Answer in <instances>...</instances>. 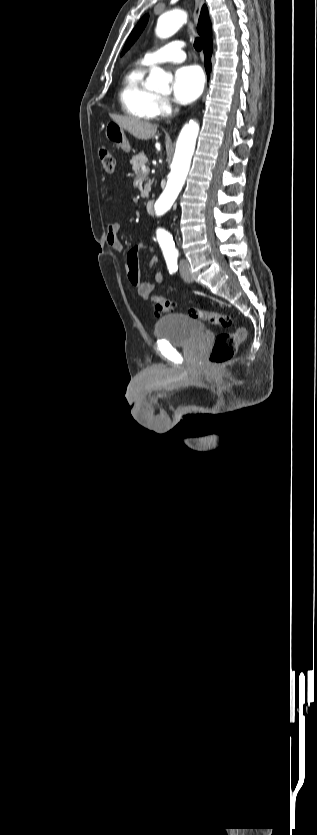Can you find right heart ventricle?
Masks as SVG:
<instances>
[{"mask_svg": "<svg viewBox=\"0 0 317 835\" xmlns=\"http://www.w3.org/2000/svg\"><path fill=\"white\" fill-rule=\"evenodd\" d=\"M147 65L138 61L124 75L119 91V100L124 112L138 119L155 117V105L158 95L145 86Z\"/></svg>", "mask_w": 317, "mask_h": 835, "instance_id": "obj_1", "label": "right heart ventricle"}]
</instances>
